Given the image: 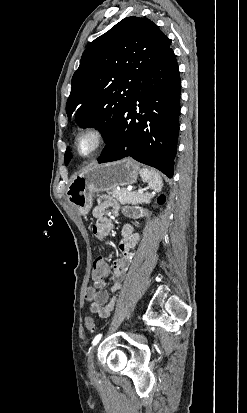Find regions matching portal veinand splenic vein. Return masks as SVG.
<instances>
[{"label": "portal vein and splenic vein", "mask_w": 247, "mask_h": 413, "mask_svg": "<svg viewBox=\"0 0 247 413\" xmlns=\"http://www.w3.org/2000/svg\"><path fill=\"white\" fill-rule=\"evenodd\" d=\"M139 192H143V188H139Z\"/></svg>", "instance_id": "18ae733b"}]
</instances>
